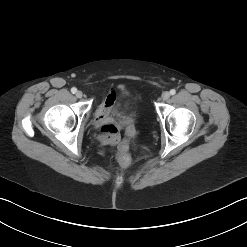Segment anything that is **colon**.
I'll list each match as a JSON object with an SVG mask.
<instances>
[{
  "label": "colon",
  "mask_w": 247,
  "mask_h": 247,
  "mask_svg": "<svg viewBox=\"0 0 247 247\" xmlns=\"http://www.w3.org/2000/svg\"><path fill=\"white\" fill-rule=\"evenodd\" d=\"M130 162V156L126 152H119L117 154V164L120 169L128 166Z\"/></svg>",
  "instance_id": "obj_1"
}]
</instances>
